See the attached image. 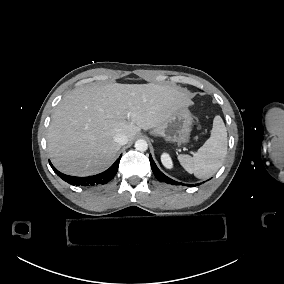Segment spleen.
Returning <instances> with one entry per match:
<instances>
[{
	"mask_svg": "<svg viewBox=\"0 0 284 284\" xmlns=\"http://www.w3.org/2000/svg\"><path fill=\"white\" fill-rule=\"evenodd\" d=\"M227 154V131L220 116L214 118L210 138L195 155H178L180 165L196 178H208L222 166Z\"/></svg>",
	"mask_w": 284,
	"mask_h": 284,
	"instance_id": "obj_1",
	"label": "spleen"
}]
</instances>
